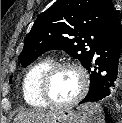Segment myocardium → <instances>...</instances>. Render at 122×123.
<instances>
[{"mask_svg":"<svg viewBox=\"0 0 122 123\" xmlns=\"http://www.w3.org/2000/svg\"><path fill=\"white\" fill-rule=\"evenodd\" d=\"M65 68H71L78 72L81 78V87H80L78 94L73 99L67 102H56L50 96V93H49L50 84L52 82L54 75L59 70L65 69ZM88 86H89V80H88L87 73L80 65L73 63V62H59V63L53 64L45 72L42 78V81H41V85H40V95L43 101L48 106L56 107V108H68V107H72L76 105L78 102H80L84 98L88 90Z\"/></svg>","mask_w":122,"mask_h":123,"instance_id":"1","label":"myocardium"}]
</instances>
